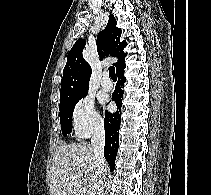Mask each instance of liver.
I'll use <instances>...</instances> for the list:
<instances>
[{
  "label": "liver",
  "mask_w": 211,
  "mask_h": 195,
  "mask_svg": "<svg viewBox=\"0 0 211 195\" xmlns=\"http://www.w3.org/2000/svg\"><path fill=\"white\" fill-rule=\"evenodd\" d=\"M95 176L93 147L88 143L61 144L56 150L50 175V195H90Z\"/></svg>",
  "instance_id": "1"
}]
</instances>
